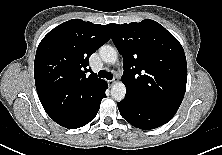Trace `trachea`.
Masks as SVG:
<instances>
[{
    "label": "trachea",
    "instance_id": "3493384b",
    "mask_svg": "<svg viewBox=\"0 0 222 155\" xmlns=\"http://www.w3.org/2000/svg\"><path fill=\"white\" fill-rule=\"evenodd\" d=\"M98 76L100 78H106L107 80L113 79V75L111 74V72H107L106 70H100Z\"/></svg>",
    "mask_w": 222,
    "mask_h": 155
}]
</instances>
